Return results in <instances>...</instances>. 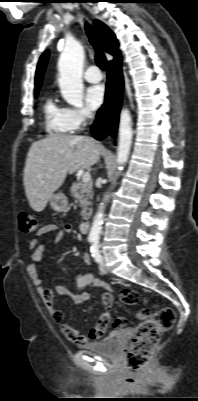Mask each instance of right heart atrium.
<instances>
[{
	"instance_id": "obj_1",
	"label": "right heart atrium",
	"mask_w": 198,
	"mask_h": 401,
	"mask_svg": "<svg viewBox=\"0 0 198 401\" xmlns=\"http://www.w3.org/2000/svg\"><path fill=\"white\" fill-rule=\"evenodd\" d=\"M67 114L73 130L81 128L94 116V113L87 107L67 108Z\"/></svg>"
}]
</instances>
